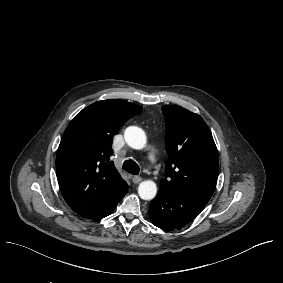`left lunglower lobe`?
Here are the masks:
<instances>
[{
	"label": "left lung lower lobe",
	"mask_w": 283,
	"mask_h": 283,
	"mask_svg": "<svg viewBox=\"0 0 283 283\" xmlns=\"http://www.w3.org/2000/svg\"><path fill=\"white\" fill-rule=\"evenodd\" d=\"M206 204L190 197L159 190L150 202L152 223L164 230L181 228L192 221Z\"/></svg>",
	"instance_id": "0a47b994"
}]
</instances>
